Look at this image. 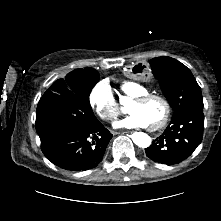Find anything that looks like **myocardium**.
I'll return each instance as SVG.
<instances>
[{
    "label": "myocardium",
    "instance_id": "myocardium-1",
    "mask_svg": "<svg viewBox=\"0 0 221 221\" xmlns=\"http://www.w3.org/2000/svg\"><path fill=\"white\" fill-rule=\"evenodd\" d=\"M152 99L160 100L165 106V113H164V116L162 117V119L154 126L148 127L149 130L156 131V130L162 129L170 119L172 108H171V104L168 101V99L161 94L148 93V94L134 98L133 103L144 104Z\"/></svg>",
    "mask_w": 221,
    "mask_h": 221
}]
</instances>
